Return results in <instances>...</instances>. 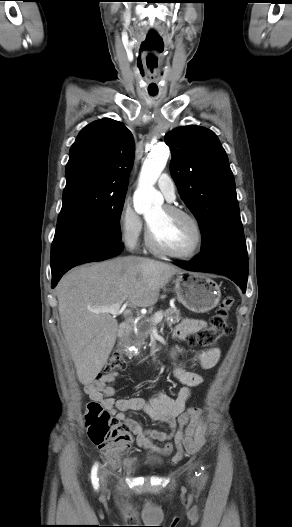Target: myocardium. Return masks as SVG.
Segmentation results:
<instances>
[{"mask_svg": "<svg viewBox=\"0 0 292 527\" xmlns=\"http://www.w3.org/2000/svg\"><path fill=\"white\" fill-rule=\"evenodd\" d=\"M163 208L169 213L182 215L191 221L196 232L194 245L186 252H175L169 250L156 241L149 224H147L145 236L147 246L157 254L175 259L187 260L195 257L201 251L204 244V231L199 219L192 212L178 206L164 205Z\"/></svg>", "mask_w": 292, "mask_h": 527, "instance_id": "f54148a6", "label": "myocardium"}]
</instances>
